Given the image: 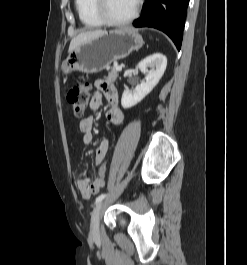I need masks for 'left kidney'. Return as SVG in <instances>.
I'll use <instances>...</instances> for the list:
<instances>
[{
  "label": "left kidney",
  "instance_id": "5707ae66",
  "mask_svg": "<svg viewBox=\"0 0 247 265\" xmlns=\"http://www.w3.org/2000/svg\"><path fill=\"white\" fill-rule=\"evenodd\" d=\"M166 66L167 58L161 53H154L143 59L138 64V68L145 74V81L138 84L133 90H125L123 92L121 98L122 107L124 109L131 108L148 95L163 76Z\"/></svg>",
  "mask_w": 247,
  "mask_h": 265
}]
</instances>
